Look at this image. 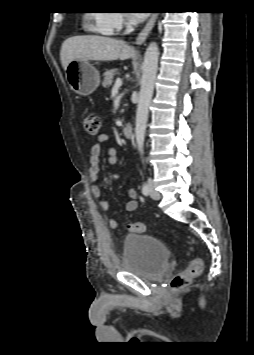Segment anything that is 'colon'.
<instances>
[{
	"instance_id": "5ec220e1",
	"label": "colon",
	"mask_w": 254,
	"mask_h": 355,
	"mask_svg": "<svg viewBox=\"0 0 254 355\" xmlns=\"http://www.w3.org/2000/svg\"><path fill=\"white\" fill-rule=\"evenodd\" d=\"M83 126L85 131L90 135H95L99 131L100 122L95 114H88L83 119ZM128 229L132 233H144L147 229L142 222H135L128 225ZM203 269V261L199 258L193 259L188 266L176 274L171 280V288L173 290H181L190 285L192 280L197 277Z\"/></svg>"
}]
</instances>
